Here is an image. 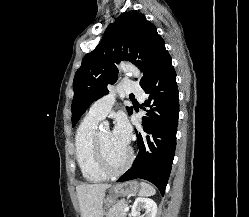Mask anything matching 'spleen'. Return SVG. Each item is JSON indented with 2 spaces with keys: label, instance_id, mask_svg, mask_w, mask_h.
<instances>
[{
  "label": "spleen",
  "instance_id": "1",
  "mask_svg": "<svg viewBox=\"0 0 249 217\" xmlns=\"http://www.w3.org/2000/svg\"><path fill=\"white\" fill-rule=\"evenodd\" d=\"M140 185H141V189L139 192L140 196H151L156 193L155 188L151 186L150 184L146 182H141Z\"/></svg>",
  "mask_w": 249,
  "mask_h": 217
}]
</instances>
